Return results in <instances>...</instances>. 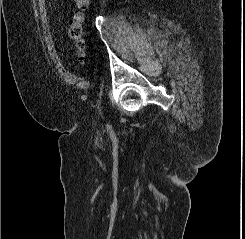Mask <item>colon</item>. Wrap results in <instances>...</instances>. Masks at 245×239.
<instances>
[{"instance_id": "obj_1", "label": "colon", "mask_w": 245, "mask_h": 239, "mask_svg": "<svg viewBox=\"0 0 245 239\" xmlns=\"http://www.w3.org/2000/svg\"><path fill=\"white\" fill-rule=\"evenodd\" d=\"M76 11L72 16L71 24L68 27V36L73 42L75 55L80 63L86 60V41L84 38L85 12L89 7L90 0H74Z\"/></svg>"}]
</instances>
